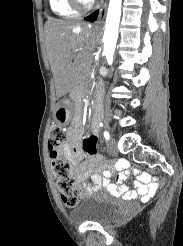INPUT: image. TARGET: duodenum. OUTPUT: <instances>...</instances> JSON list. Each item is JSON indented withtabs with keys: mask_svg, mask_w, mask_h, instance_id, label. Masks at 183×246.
Returning <instances> with one entry per match:
<instances>
[{
	"mask_svg": "<svg viewBox=\"0 0 183 246\" xmlns=\"http://www.w3.org/2000/svg\"><path fill=\"white\" fill-rule=\"evenodd\" d=\"M99 95H100V89H98L97 91V97H99Z\"/></svg>",
	"mask_w": 183,
	"mask_h": 246,
	"instance_id": "duodenum-1",
	"label": "duodenum"
}]
</instances>
